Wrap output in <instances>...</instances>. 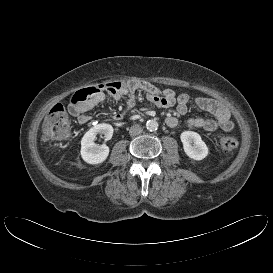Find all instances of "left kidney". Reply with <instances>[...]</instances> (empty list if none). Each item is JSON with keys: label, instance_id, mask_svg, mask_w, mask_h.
<instances>
[{"label": "left kidney", "instance_id": "5707ae66", "mask_svg": "<svg viewBox=\"0 0 273 273\" xmlns=\"http://www.w3.org/2000/svg\"><path fill=\"white\" fill-rule=\"evenodd\" d=\"M184 152L194 160H202L208 155V147L201 136L193 131H184L180 135Z\"/></svg>", "mask_w": 273, "mask_h": 273}]
</instances>
